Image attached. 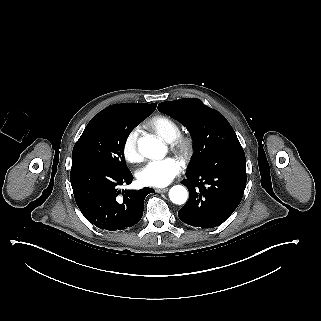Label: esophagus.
<instances>
[{
	"instance_id": "esophagus-1",
	"label": "esophagus",
	"mask_w": 321,
	"mask_h": 321,
	"mask_svg": "<svg viewBox=\"0 0 321 321\" xmlns=\"http://www.w3.org/2000/svg\"><path fill=\"white\" fill-rule=\"evenodd\" d=\"M166 191H168V188H157V189L155 190V192H157V193H164V192H166Z\"/></svg>"
}]
</instances>
